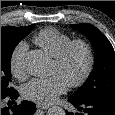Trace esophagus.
I'll return each mask as SVG.
<instances>
[{
    "instance_id": "esophagus-1",
    "label": "esophagus",
    "mask_w": 115,
    "mask_h": 115,
    "mask_svg": "<svg viewBox=\"0 0 115 115\" xmlns=\"http://www.w3.org/2000/svg\"><path fill=\"white\" fill-rule=\"evenodd\" d=\"M37 108H39V109H47L48 106L37 104Z\"/></svg>"
}]
</instances>
